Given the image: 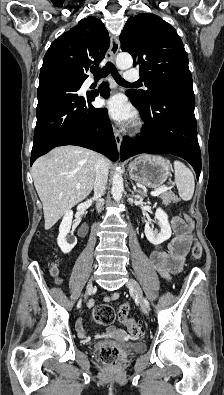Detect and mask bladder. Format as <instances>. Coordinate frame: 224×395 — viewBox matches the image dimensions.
Returning <instances> with one entry per match:
<instances>
[{"label": "bladder", "instance_id": "1", "mask_svg": "<svg viewBox=\"0 0 224 395\" xmlns=\"http://www.w3.org/2000/svg\"><path fill=\"white\" fill-rule=\"evenodd\" d=\"M131 350L133 352H143L145 350V345L143 343H132Z\"/></svg>", "mask_w": 224, "mask_h": 395}]
</instances>
